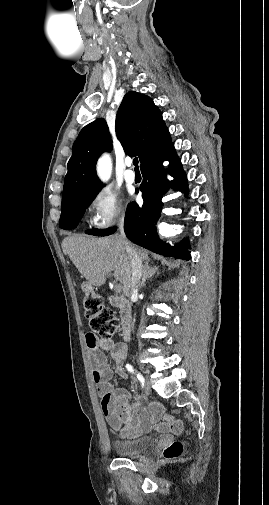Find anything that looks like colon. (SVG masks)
Listing matches in <instances>:
<instances>
[{"instance_id": "colon-1", "label": "colon", "mask_w": 269, "mask_h": 505, "mask_svg": "<svg viewBox=\"0 0 269 505\" xmlns=\"http://www.w3.org/2000/svg\"><path fill=\"white\" fill-rule=\"evenodd\" d=\"M82 307L90 328L88 334L101 338H110L115 335L118 320L114 312L104 306L102 298L89 285L84 286ZM183 452V444L180 441H174L164 449L163 455L171 460L179 458Z\"/></svg>"}]
</instances>
